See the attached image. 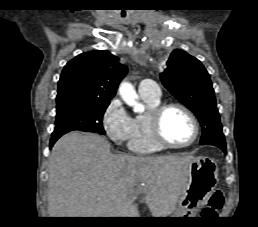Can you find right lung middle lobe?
Wrapping results in <instances>:
<instances>
[{
	"mask_svg": "<svg viewBox=\"0 0 258 227\" xmlns=\"http://www.w3.org/2000/svg\"><path fill=\"white\" fill-rule=\"evenodd\" d=\"M110 102L84 99L77 96L57 98L55 129L81 130L104 135V112Z\"/></svg>",
	"mask_w": 258,
	"mask_h": 227,
	"instance_id": "obj_1",
	"label": "right lung middle lobe"
}]
</instances>
